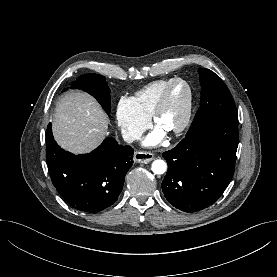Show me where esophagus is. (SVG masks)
Segmentation results:
<instances>
[{"label": "esophagus", "instance_id": "obj_1", "mask_svg": "<svg viewBox=\"0 0 277 277\" xmlns=\"http://www.w3.org/2000/svg\"><path fill=\"white\" fill-rule=\"evenodd\" d=\"M154 159V154L151 152L136 151L134 153V161L137 163H148Z\"/></svg>", "mask_w": 277, "mask_h": 277}]
</instances>
